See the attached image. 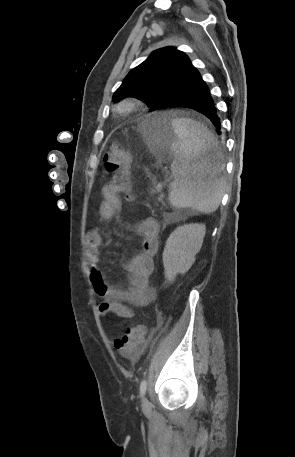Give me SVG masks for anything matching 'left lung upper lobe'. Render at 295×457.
<instances>
[{
  "mask_svg": "<svg viewBox=\"0 0 295 457\" xmlns=\"http://www.w3.org/2000/svg\"><path fill=\"white\" fill-rule=\"evenodd\" d=\"M190 59L174 47H164L132 69L113 95L117 101L136 97L157 110L166 99L190 85L188 74L193 70Z\"/></svg>",
  "mask_w": 295,
  "mask_h": 457,
  "instance_id": "1",
  "label": "left lung upper lobe"
}]
</instances>
